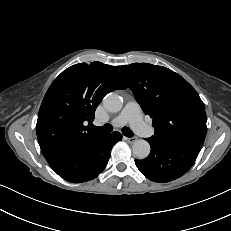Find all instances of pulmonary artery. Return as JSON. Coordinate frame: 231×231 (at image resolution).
<instances>
[{
    "instance_id": "pulmonary-artery-1",
    "label": "pulmonary artery",
    "mask_w": 231,
    "mask_h": 231,
    "mask_svg": "<svg viewBox=\"0 0 231 231\" xmlns=\"http://www.w3.org/2000/svg\"><path fill=\"white\" fill-rule=\"evenodd\" d=\"M127 123L143 137H151L154 133L153 129L143 121L141 109L134 101L127 102L122 111L112 120V125L116 127Z\"/></svg>"
}]
</instances>
